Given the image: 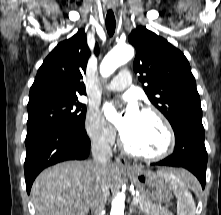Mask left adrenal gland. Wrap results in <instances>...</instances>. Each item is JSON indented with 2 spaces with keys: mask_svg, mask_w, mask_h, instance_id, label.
I'll return each instance as SVG.
<instances>
[{
  "mask_svg": "<svg viewBox=\"0 0 221 215\" xmlns=\"http://www.w3.org/2000/svg\"><path fill=\"white\" fill-rule=\"evenodd\" d=\"M129 211H130V213L136 212V210H135L134 207H133V204H131Z\"/></svg>",
  "mask_w": 221,
  "mask_h": 215,
  "instance_id": "1",
  "label": "left adrenal gland"
}]
</instances>
